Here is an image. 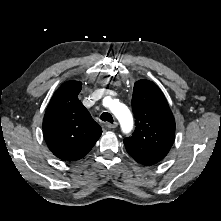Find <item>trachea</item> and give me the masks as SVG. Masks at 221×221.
I'll return each mask as SVG.
<instances>
[{"instance_id": "3493384b", "label": "trachea", "mask_w": 221, "mask_h": 221, "mask_svg": "<svg viewBox=\"0 0 221 221\" xmlns=\"http://www.w3.org/2000/svg\"><path fill=\"white\" fill-rule=\"evenodd\" d=\"M100 119L104 122L113 123V117L110 113L104 112L101 114Z\"/></svg>"}]
</instances>
